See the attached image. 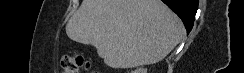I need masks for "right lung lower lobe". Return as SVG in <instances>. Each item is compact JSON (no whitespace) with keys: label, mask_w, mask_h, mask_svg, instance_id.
I'll list each match as a JSON object with an SVG mask.
<instances>
[{"label":"right lung lower lobe","mask_w":244,"mask_h":73,"mask_svg":"<svg viewBox=\"0 0 244 73\" xmlns=\"http://www.w3.org/2000/svg\"><path fill=\"white\" fill-rule=\"evenodd\" d=\"M170 9H172L183 21L187 33L193 27L195 14L198 8L199 0H162Z\"/></svg>","instance_id":"1"}]
</instances>
